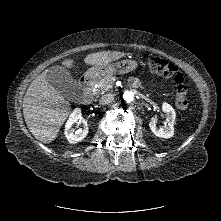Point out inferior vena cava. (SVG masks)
Listing matches in <instances>:
<instances>
[{
  "instance_id": "602c4592",
  "label": "inferior vena cava",
  "mask_w": 221,
  "mask_h": 221,
  "mask_svg": "<svg viewBox=\"0 0 221 221\" xmlns=\"http://www.w3.org/2000/svg\"><path fill=\"white\" fill-rule=\"evenodd\" d=\"M114 100V94H105L99 99V103L106 105L111 103Z\"/></svg>"
}]
</instances>
